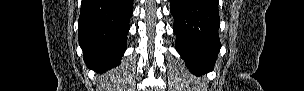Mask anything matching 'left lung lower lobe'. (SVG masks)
Segmentation results:
<instances>
[{"label":"left lung lower lobe","instance_id":"1","mask_svg":"<svg viewBox=\"0 0 304 91\" xmlns=\"http://www.w3.org/2000/svg\"><path fill=\"white\" fill-rule=\"evenodd\" d=\"M218 0H170L175 47L196 75L213 70L221 44Z\"/></svg>","mask_w":304,"mask_h":91}]
</instances>
